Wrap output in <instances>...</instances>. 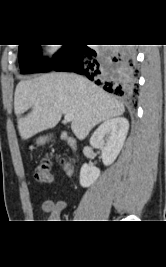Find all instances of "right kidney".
<instances>
[{"instance_id": "obj_1", "label": "right kidney", "mask_w": 166, "mask_h": 267, "mask_svg": "<svg viewBox=\"0 0 166 267\" xmlns=\"http://www.w3.org/2000/svg\"><path fill=\"white\" fill-rule=\"evenodd\" d=\"M129 122L124 117H117L103 122L90 138V144L102 151L104 165L112 164L119 155L127 133ZM100 176V170L94 166L83 164L80 170V185L89 187Z\"/></svg>"}]
</instances>
